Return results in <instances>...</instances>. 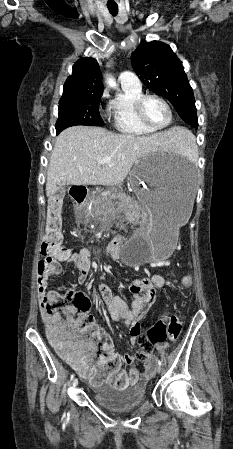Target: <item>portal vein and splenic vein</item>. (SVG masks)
<instances>
[{
    "label": "portal vein and splenic vein",
    "instance_id": "obj_1",
    "mask_svg": "<svg viewBox=\"0 0 233 449\" xmlns=\"http://www.w3.org/2000/svg\"><path fill=\"white\" fill-rule=\"evenodd\" d=\"M99 162H100L101 164L109 163V162H110V157H106V158L100 160Z\"/></svg>",
    "mask_w": 233,
    "mask_h": 449
}]
</instances>
